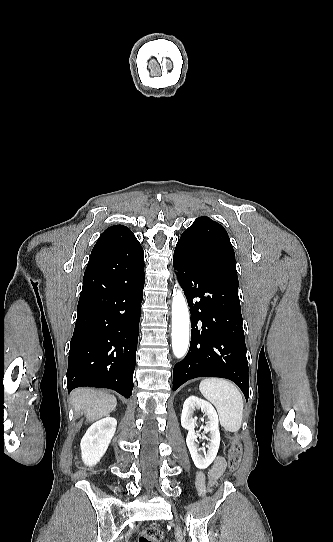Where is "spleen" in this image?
I'll return each instance as SVG.
<instances>
[{
	"instance_id": "1",
	"label": "spleen",
	"mask_w": 333,
	"mask_h": 542,
	"mask_svg": "<svg viewBox=\"0 0 333 542\" xmlns=\"http://www.w3.org/2000/svg\"><path fill=\"white\" fill-rule=\"evenodd\" d=\"M200 392L215 406L219 422L226 432H238L242 426L244 402L238 388L221 378H206L199 384Z\"/></svg>"
}]
</instances>
